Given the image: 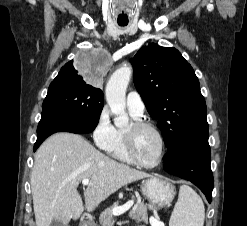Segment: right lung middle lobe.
Listing matches in <instances>:
<instances>
[{"label": "right lung middle lobe", "instance_id": "right-lung-middle-lobe-1", "mask_svg": "<svg viewBox=\"0 0 247 226\" xmlns=\"http://www.w3.org/2000/svg\"><path fill=\"white\" fill-rule=\"evenodd\" d=\"M98 90L77 78L76 70L58 74L49 86L42 104V115L55 112L98 124L104 103L103 94Z\"/></svg>", "mask_w": 247, "mask_h": 226}]
</instances>
